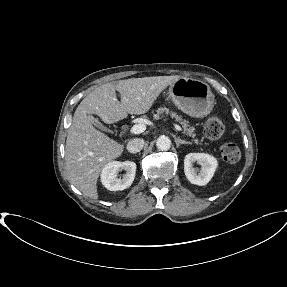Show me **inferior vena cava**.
<instances>
[{
	"label": "inferior vena cava",
	"mask_w": 287,
	"mask_h": 287,
	"mask_svg": "<svg viewBox=\"0 0 287 287\" xmlns=\"http://www.w3.org/2000/svg\"><path fill=\"white\" fill-rule=\"evenodd\" d=\"M144 140L141 138H133L127 143V150L130 153H138L144 147Z\"/></svg>",
	"instance_id": "obj_1"
}]
</instances>
